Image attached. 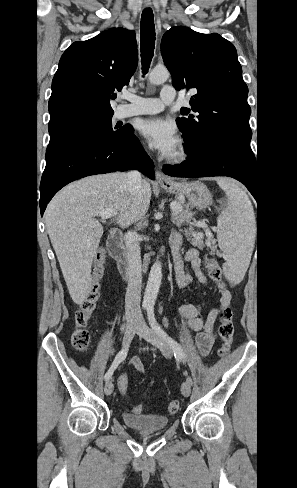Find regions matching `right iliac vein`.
I'll return each mask as SVG.
<instances>
[{
	"mask_svg": "<svg viewBox=\"0 0 297 488\" xmlns=\"http://www.w3.org/2000/svg\"><path fill=\"white\" fill-rule=\"evenodd\" d=\"M137 328V321L135 319H129L126 322V328L123 337V345L126 346L129 340L132 338L135 330ZM104 392L106 395H111L113 392V383L111 381H107L104 387Z\"/></svg>",
	"mask_w": 297,
	"mask_h": 488,
	"instance_id": "obj_1",
	"label": "right iliac vein"
}]
</instances>
